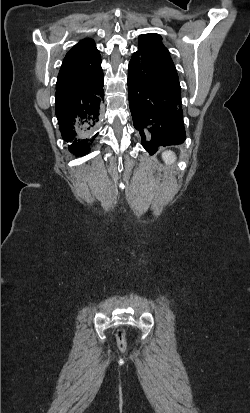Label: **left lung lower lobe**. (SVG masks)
<instances>
[{"label": "left lung lower lobe", "instance_id": "1", "mask_svg": "<svg viewBox=\"0 0 250 413\" xmlns=\"http://www.w3.org/2000/svg\"><path fill=\"white\" fill-rule=\"evenodd\" d=\"M129 106L145 150L184 142L181 87L161 38L147 36L129 62Z\"/></svg>", "mask_w": 250, "mask_h": 413}]
</instances>
